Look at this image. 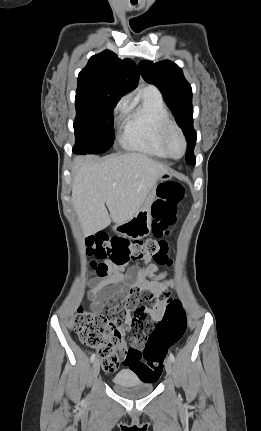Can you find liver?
<instances>
[{
  "instance_id": "1",
  "label": "liver",
  "mask_w": 261,
  "mask_h": 431,
  "mask_svg": "<svg viewBox=\"0 0 261 431\" xmlns=\"http://www.w3.org/2000/svg\"><path fill=\"white\" fill-rule=\"evenodd\" d=\"M166 172V166L140 153L76 157L72 203L84 235L105 229L111 220L128 221Z\"/></svg>"
}]
</instances>
